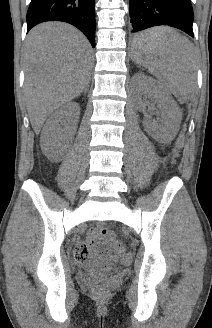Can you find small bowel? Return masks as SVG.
<instances>
[{
  "label": "small bowel",
  "mask_w": 212,
  "mask_h": 328,
  "mask_svg": "<svg viewBox=\"0 0 212 328\" xmlns=\"http://www.w3.org/2000/svg\"><path fill=\"white\" fill-rule=\"evenodd\" d=\"M76 251H81L87 258L91 253H96L106 264L117 261L120 251L112 246L101 243L97 230L93 229L89 233V241L78 245Z\"/></svg>",
  "instance_id": "small-bowel-1"
}]
</instances>
